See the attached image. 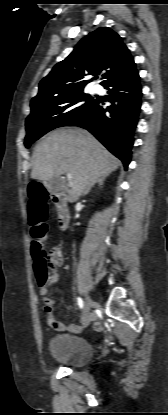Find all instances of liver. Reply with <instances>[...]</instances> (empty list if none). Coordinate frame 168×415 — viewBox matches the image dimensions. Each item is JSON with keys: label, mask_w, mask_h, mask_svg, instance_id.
I'll return each mask as SVG.
<instances>
[{"label": "liver", "mask_w": 168, "mask_h": 415, "mask_svg": "<svg viewBox=\"0 0 168 415\" xmlns=\"http://www.w3.org/2000/svg\"><path fill=\"white\" fill-rule=\"evenodd\" d=\"M120 161L88 131L62 127L48 133L35 147L31 178L47 181L71 173L68 201L76 202L98 178L108 176Z\"/></svg>", "instance_id": "6515ba94"}]
</instances>
